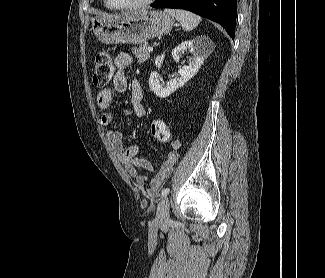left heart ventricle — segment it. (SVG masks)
<instances>
[{"label": "left heart ventricle", "mask_w": 325, "mask_h": 278, "mask_svg": "<svg viewBox=\"0 0 325 278\" xmlns=\"http://www.w3.org/2000/svg\"><path fill=\"white\" fill-rule=\"evenodd\" d=\"M112 1L118 5H129V4L140 3L144 0H112Z\"/></svg>", "instance_id": "1"}]
</instances>
